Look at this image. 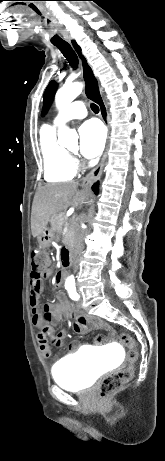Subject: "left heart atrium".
<instances>
[{
    "instance_id": "obj_1",
    "label": "left heart atrium",
    "mask_w": 165,
    "mask_h": 461,
    "mask_svg": "<svg viewBox=\"0 0 165 461\" xmlns=\"http://www.w3.org/2000/svg\"><path fill=\"white\" fill-rule=\"evenodd\" d=\"M79 139L81 153L89 158L96 157L104 148L105 130L99 122L87 121L79 128Z\"/></svg>"
}]
</instances>
